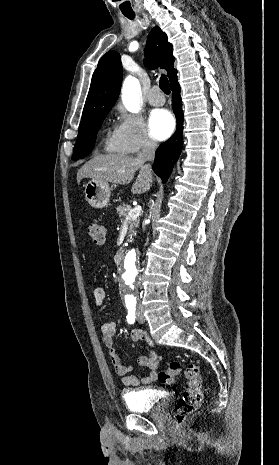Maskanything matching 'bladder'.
Masks as SVG:
<instances>
[{
	"mask_svg": "<svg viewBox=\"0 0 279 465\" xmlns=\"http://www.w3.org/2000/svg\"><path fill=\"white\" fill-rule=\"evenodd\" d=\"M123 399L131 412L162 413L167 408L169 396L155 389L136 388L125 390Z\"/></svg>",
	"mask_w": 279,
	"mask_h": 465,
	"instance_id": "31cf9c89",
	"label": "bladder"
}]
</instances>
